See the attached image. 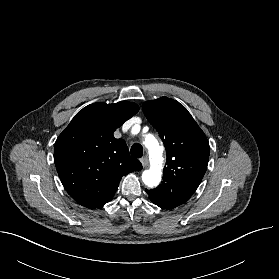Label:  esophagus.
Listing matches in <instances>:
<instances>
[{
  "instance_id": "1",
  "label": "esophagus",
  "mask_w": 279,
  "mask_h": 279,
  "mask_svg": "<svg viewBox=\"0 0 279 279\" xmlns=\"http://www.w3.org/2000/svg\"><path fill=\"white\" fill-rule=\"evenodd\" d=\"M141 161V164L143 167H147L148 166V157L147 156H144L140 159Z\"/></svg>"
}]
</instances>
